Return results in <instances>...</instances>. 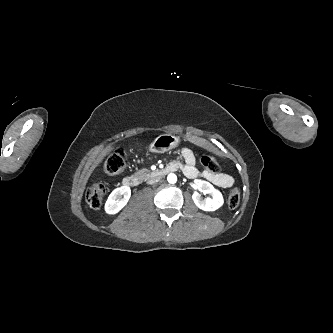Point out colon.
<instances>
[{"instance_id": "obj_1", "label": "colon", "mask_w": 333, "mask_h": 333, "mask_svg": "<svg viewBox=\"0 0 333 333\" xmlns=\"http://www.w3.org/2000/svg\"><path fill=\"white\" fill-rule=\"evenodd\" d=\"M202 167L211 172L218 173L220 166L218 161L209 155L201 157ZM104 170L107 174L115 175L123 173L127 170L126 154L123 149L115 150L106 160L104 164ZM106 194L105 187L102 184H94L90 186L86 191V201L93 209H99L104 201ZM240 203V193L237 188L230 190L227 198L228 207L231 209L236 208Z\"/></svg>"}]
</instances>
